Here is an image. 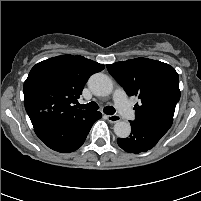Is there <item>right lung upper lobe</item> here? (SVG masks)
<instances>
[{"label":"right lung upper lobe","mask_w":201,"mask_h":201,"mask_svg":"<svg viewBox=\"0 0 201 201\" xmlns=\"http://www.w3.org/2000/svg\"><path fill=\"white\" fill-rule=\"evenodd\" d=\"M104 65L80 55H62L36 64L24 83V105L33 127L68 126L92 112L77 109L88 78Z\"/></svg>","instance_id":"obj_1"}]
</instances>
